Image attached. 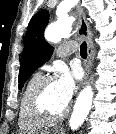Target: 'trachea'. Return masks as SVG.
Segmentation results:
<instances>
[{
	"label": "trachea",
	"mask_w": 116,
	"mask_h": 134,
	"mask_svg": "<svg viewBox=\"0 0 116 134\" xmlns=\"http://www.w3.org/2000/svg\"><path fill=\"white\" fill-rule=\"evenodd\" d=\"M80 54L83 58L87 57V45L86 42H83L80 46Z\"/></svg>",
	"instance_id": "3493384b"
}]
</instances>
